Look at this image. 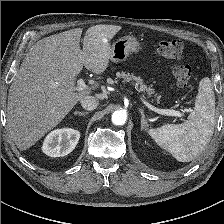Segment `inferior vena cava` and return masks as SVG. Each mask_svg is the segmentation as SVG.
<instances>
[{
  "mask_svg": "<svg viewBox=\"0 0 224 224\" xmlns=\"http://www.w3.org/2000/svg\"><path fill=\"white\" fill-rule=\"evenodd\" d=\"M81 106L86 110H94L97 108L99 101L94 96H85L80 101Z\"/></svg>",
  "mask_w": 224,
  "mask_h": 224,
  "instance_id": "602c4592",
  "label": "inferior vena cava"
}]
</instances>
